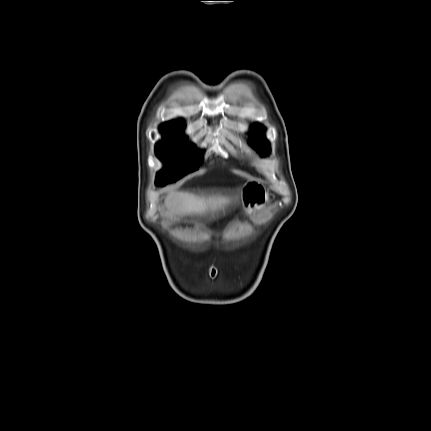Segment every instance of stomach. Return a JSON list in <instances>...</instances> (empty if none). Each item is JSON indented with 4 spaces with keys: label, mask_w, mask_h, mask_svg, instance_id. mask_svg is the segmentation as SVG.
<instances>
[{
    "label": "stomach",
    "mask_w": 431,
    "mask_h": 431,
    "mask_svg": "<svg viewBox=\"0 0 431 431\" xmlns=\"http://www.w3.org/2000/svg\"><path fill=\"white\" fill-rule=\"evenodd\" d=\"M241 199L243 207L247 212L251 213L265 206L269 196L266 188L262 184L249 181L242 188Z\"/></svg>",
    "instance_id": "0dacf381"
}]
</instances>
